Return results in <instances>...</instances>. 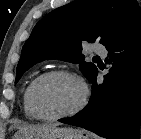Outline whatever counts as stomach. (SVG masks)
Masks as SVG:
<instances>
[{
  "label": "stomach",
  "mask_w": 141,
  "mask_h": 139,
  "mask_svg": "<svg viewBox=\"0 0 141 139\" xmlns=\"http://www.w3.org/2000/svg\"><path fill=\"white\" fill-rule=\"evenodd\" d=\"M13 139H92L91 135L82 129L59 128L57 126L37 128L26 133H18Z\"/></svg>",
  "instance_id": "0dacf381"
}]
</instances>
